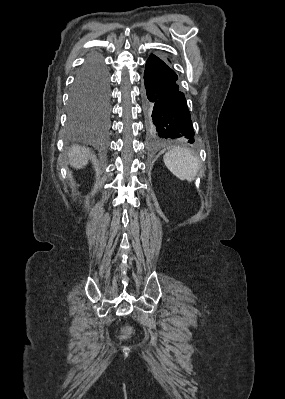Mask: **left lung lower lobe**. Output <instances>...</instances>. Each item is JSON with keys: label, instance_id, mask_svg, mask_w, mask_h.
<instances>
[{"label": "left lung lower lobe", "instance_id": "0a47b994", "mask_svg": "<svg viewBox=\"0 0 285 399\" xmlns=\"http://www.w3.org/2000/svg\"><path fill=\"white\" fill-rule=\"evenodd\" d=\"M178 76L167 60L151 54L144 80V108L148 129L155 141L165 139L194 142V130L184 94L177 85Z\"/></svg>", "mask_w": 285, "mask_h": 399}]
</instances>
